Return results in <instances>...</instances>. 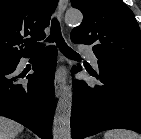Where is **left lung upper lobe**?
<instances>
[{
  "instance_id": "1",
  "label": "left lung upper lobe",
  "mask_w": 141,
  "mask_h": 139,
  "mask_svg": "<svg viewBox=\"0 0 141 139\" xmlns=\"http://www.w3.org/2000/svg\"><path fill=\"white\" fill-rule=\"evenodd\" d=\"M83 13L71 32L74 43L93 45L99 60L141 66V34L133 12L122 0H71Z\"/></svg>"
}]
</instances>
